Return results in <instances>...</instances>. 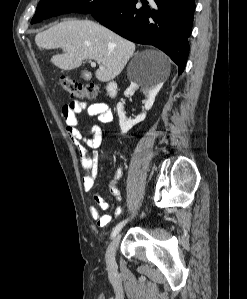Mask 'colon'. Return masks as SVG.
<instances>
[{
    "mask_svg": "<svg viewBox=\"0 0 247 299\" xmlns=\"http://www.w3.org/2000/svg\"><path fill=\"white\" fill-rule=\"evenodd\" d=\"M61 85L70 95L82 99H93L99 92L95 84L83 85L69 76L61 77Z\"/></svg>",
    "mask_w": 247,
    "mask_h": 299,
    "instance_id": "5ec220e1",
    "label": "colon"
}]
</instances>
